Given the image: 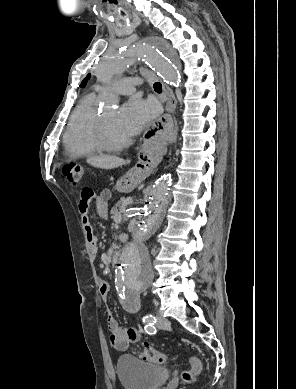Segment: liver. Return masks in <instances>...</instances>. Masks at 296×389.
<instances>
[{"mask_svg": "<svg viewBox=\"0 0 296 389\" xmlns=\"http://www.w3.org/2000/svg\"><path fill=\"white\" fill-rule=\"evenodd\" d=\"M87 163L91 166L101 169H114L117 167H121L126 162L123 159L115 156L95 155L89 157L87 159Z\"/></svg>", "mask_w": 296, "mask_h": 389, "instance_id": "6515ba94", "label": "liver"}]
</instances>
